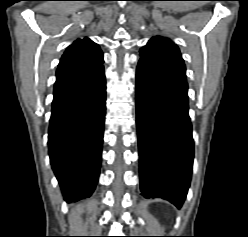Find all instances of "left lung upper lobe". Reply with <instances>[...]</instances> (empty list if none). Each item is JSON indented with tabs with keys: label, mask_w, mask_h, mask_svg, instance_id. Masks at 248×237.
Returning a JSON list of instances; mask_svg holds the SVG:
<instances>
[{
	"label": "left lung upper lobe",
	"mask_w": 248,
	"mask_h": 237,
	"mask_svg": "<svg viewBox=\"0 0 248 237\" xmlns=\"http://www.w3.org/2000/svg\"><path fill=\"white\" fill-rule=\"evenodd\" d=\"M141 59L158 67L166 74L186 80L185 64L179 48L168 38L153 37L140 50Z\"/></svg>",
	"instance_id": "obj_1"
}]
</instances>
